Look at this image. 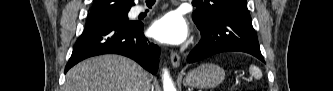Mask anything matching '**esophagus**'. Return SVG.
I'll list each match as a JSON object with an SVG mask.
<instances>
[{
	"label": "esophagus",
	"instance_id": "obj_1",
	"mask_svg": "<svg viewBox=\"0 0 333 91\" xmlns=\"http://www.w3.org/2000/svg\"><path fill=\"white\" fill-rule=\"evenodd\" d=\"M170 59H171V64H172L173 68H177L180 64L179 54L176 51H172Z\"/></svg>",
	"mask_w": 333,
	"mask_h": 91
}]
</instances>
